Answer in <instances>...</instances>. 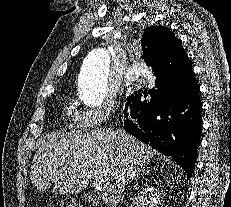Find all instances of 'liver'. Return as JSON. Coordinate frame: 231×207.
I'll use <instances>...</instances> for the list:
<instances>
[{
    "mask_svg": "<svg viewBox=\"0 0 231 207\" xmlns=\"http://www.w3.org/2000/svg\"><path fill=\"white\" fill-rule=\"evenodd\" d=\"M155 154L121 128L51 134L39 142L30 180L40 192L52 188L60 195L79 193L89 180L100 181L103 202L117 207L125 186Z\"/></svg>",
    "mask_w": 231,
    "mask_h": 207,
    "instance_id": "obj_1",
    "label": "liver"
}]
</instances>
